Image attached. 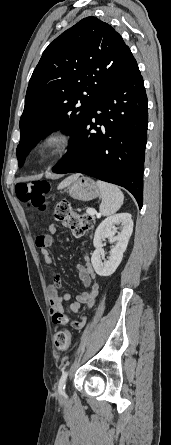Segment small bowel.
Returning a JSON list of instances; mask_svg holds the SVG:
<instances>
[{"label":"small bowel","instance_id":"small-bowel-1","mask_svg":"<svg viewBox=\"0 0 171 445\" xmlns=\"http://www.w3.org/2000/svg\"><path fill=\"white\" fill-rule=\"evenodd\" d=\"M58 231V227L51 224L48 231L41 233L36 237V246L40 249L44 262L47 265H52L54 258L50 252V247L55 245L54 236ZM84 264H78L75 266V270L86 290L80 293L74 302L69 304V310L72 314H77L82 308V305L90 307L93 305L95 298L98 294L99 284L96 279L95 271L92 267L89 254L84 255ZM62 281L59 275H54V284L48 287V298L50 301V314L52 316V321H54L55 316L64 315V303L70 300V294L61 293ZM83 326L82 322L74 321L72 327L74 329H81Z\"/></svg>","mask_w":171,"mask_h":445}]
</instances>
